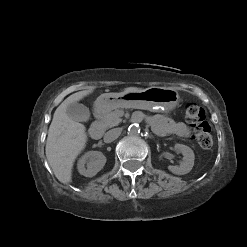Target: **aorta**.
Returning <instances> with one entry per match:
<instances>
[{"mask_svg":"<svg viewBox=\"0 0 247 247\" xmlns=\"http://www.w3.org/2000/svg\"><path fill=\"white\" fill-rule=\"evenodd\" d=\"M140 126L137 123L131 124L128 127V135L132 136V137H136L140 134Z\"/></svg>","mask_w":247,"mask_h":247,"instance_id":"obj_1","label":"aorta"}]
</instances>
